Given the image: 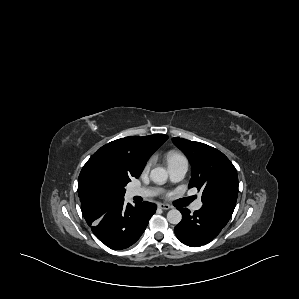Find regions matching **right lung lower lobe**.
Segmentation results:
<instances>
[{"label":"right lung lower lobe","instance_id":"obj_1","mask_svg":"<svg viewBox=\"0 0 299 299\" xmlns=\"http://www.w3.org/2000/svg\"><path fill=\"white\" fill-rule=\"evenodd\" d=\"M81 211L101 242L111 249L121 250L140 238L156 206L149 202L125 205L124 198L113 202L86 200L81 202Z\"/></svg>","mask_w":299,"mask_h":299}]
</instances>
